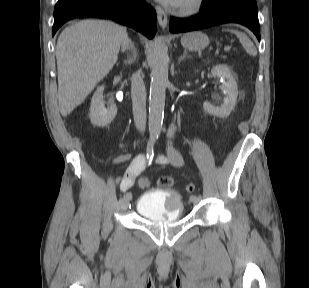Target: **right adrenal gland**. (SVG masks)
<instances>
[{"label":"right adrenal gland","instance_id":"2a0ac1e0","mask_svg":"<svg viewBox=\"0 0 309 288\" xmlns=\"http://www.w3.org/2000/svg\"><path fill=\"white\" fill-rule=\"evenodd\" d=\"M130 49H131L132 55L128 56L127 59L124 60L125 65L132 64L137 58V51H136V48H135V46L132 42H130Z\"/></svg>","mask_w":309,"mask_h":288}]
</instances>
